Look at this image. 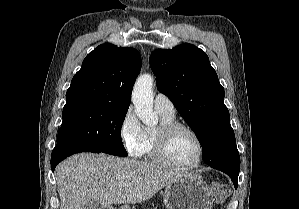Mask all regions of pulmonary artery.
I'll use <instances>...</instances> for the list:
<instances>
[{
    "instance_id": "obj_1",
    "label": "pulmonary artery",
    "mask_w": 299,
    "mask_h": 209,
    "mask_svg": "<svg viewBox=\"0 0 299 209\" xmlns=\"http://www.w3.org/2000/svg\"><path fill=\"white\" fill-rule=\"evenodd\" d=\"M154 107L155 109L166 116H174L175 109L171 100L164 94L158 93L154 98Z\"/></svg>"
}]
</instances>
